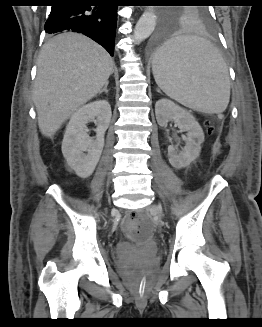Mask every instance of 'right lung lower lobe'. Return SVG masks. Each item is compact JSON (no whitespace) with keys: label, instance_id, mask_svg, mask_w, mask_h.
I'll return each instance as SVG.
<instances>
[{"label":"right lung lower lobe","instance_id":"98d812e1","mask_svg":"<svg viewBox=\"0 0 262 327\" xmlns=\"http://www.w3.org/2000/svg\"><path fill=\"white\" fill-rule=\"evenodd\" d=\"M45 31L49 34L64 31L82 33L114 55L117 6H85L76 0H53Z\"/></svg>","mask_w":262,"mask_h":327}]
</instances>
